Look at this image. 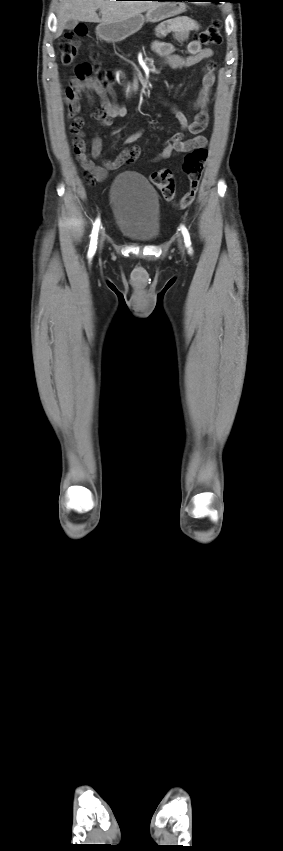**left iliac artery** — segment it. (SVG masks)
Segmentation results:
<instances>
[{"instance_id": "44dca946", "label": "left iliac artery", "mask_w": 283, "mask_h": 851, "mask_svg": "<svg viewBox=\"0 0 283 851\" xmlns=\"http://www.w3.org/2000/svg\"><path fill=\"white\" fill-rule=\"evenodd\" d=\"M182 234H183V237H184V242H185L186 246L189 248V252H191L190 236H189L188 230L184 226H182Z\"/></svg>"}]
</instances>
